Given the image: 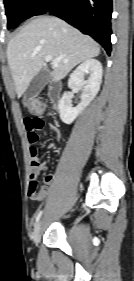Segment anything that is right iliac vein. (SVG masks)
<instances>
[{
  "instance_id": "right-iliac-vein-1",
  "label": "right iliac vein",
  "mask_w": 134,
  "mask_h": 281,
  "mask_svg": "<svg viewBox=\"0 0 134 281\" xmlns=\"http://www.w3.org/2000/svg\"><path fill=\"white\" fill-rule=\"evenodd\" d=\"M41 235H42V222L39 221L36 224L34 232H33V241H34L35 244H38V242L41 239Z\"/></svg>"
}]
</instances>
